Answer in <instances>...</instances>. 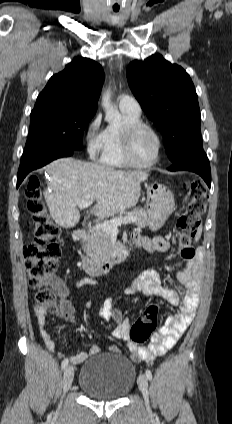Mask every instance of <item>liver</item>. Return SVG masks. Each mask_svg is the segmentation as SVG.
I'll use <instances>...</instances> for the list:
<instances>
[{
    "instance_id": "1",
    "label": "liver",
    "mask_w": 232,
    "mask_h": 424,
    "mask_svg": "<svg viewBox=\"0 0 232 424\" xmlns=\"http://www.w3.org/2000/svg\"><path fill=\"white\" fill-rule=\"evenodd\" d=\"M46 170L50 176V192L45 201L52 219L61 227H74L80 220L78 203L96 201L87 211L100 219L134 207L141 194V182L148 178L146 171H121L112 167L60 158Z\"/></svg>"
}]
</instances>
